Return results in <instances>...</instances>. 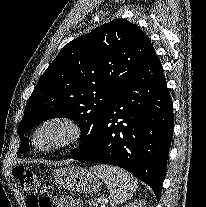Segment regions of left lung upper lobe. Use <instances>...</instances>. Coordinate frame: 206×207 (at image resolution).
<instances>
[{"label": "left lung upper lobe", "mask_w": 206, "mask_h": 207, "mask_svg": "<svg viewBox=\"0 0 206 207\" xmlns=\"http://www.w3.org/2000/svg\"><path fill=\"white\" fill-rule=\"evenodd\" d=\"M155 50L148 36L124 19L113 20L64 46L40 77L18 127L19 152L29 150L24 133L51 118H69L82 130L87 149L109 104Z\"/></svg>", "instance_id": "obj_1"}]
</instances>
